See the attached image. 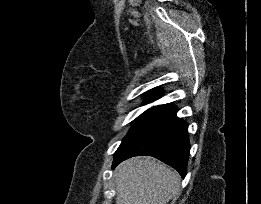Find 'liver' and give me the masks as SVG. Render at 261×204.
<instances>
[{
	"instance_id": "1",
	"label": "liver",
	"mask_w": 261,
	"mask_h": 204,
	"mask_svg": "<svg viewBox=\"0 0 261 204\" xmlns=\"http://www.w3.org/2000/svg\"><path fill=\"white\" fill-rule=\"evenodd\" d=\"M115 179L116 204H167L179 193L178 173L151 157L124 161Z\"/></svg>"
}]
</instances>
